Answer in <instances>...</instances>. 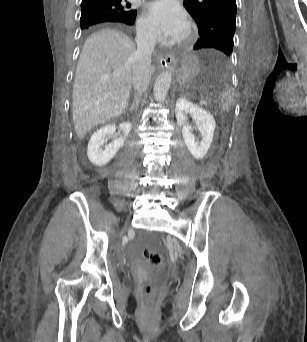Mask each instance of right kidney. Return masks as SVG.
I'll return each instance as SVG.
<instances>
[{"label":"right kidney","instance_id":"obj_1","mask_svg":"<svg viewBox=\"0 0 307 342\" xmlns=\"http://www.w3.org/2000/svg\"><path fill=\"white\" fill-rule=\"evenodd\" d=\"M119 128L123 130L122 136L114 140V142H111V144H108V146H105V150H102L101 146H104L105 138L115 132L116 126L114 124H108V126H104V128H100V130L94 132L87 148V156L91 164H94V166H106L114 158L119 148H122L125 138H127L129 132L132 130V124L130 122H122V124H119Z\"/></svg>","mask_w":307,"mask_h":342}]
</instances>
